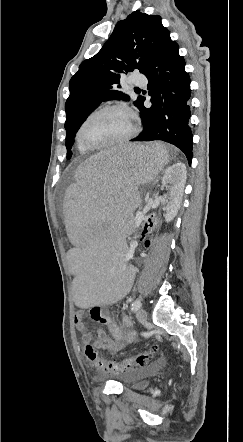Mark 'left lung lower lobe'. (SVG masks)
Listing matches in <instances>:
<instances>
[{"label":"left lung lower lobe","mask_w":243,"mask_h":442,"mask_svg":"<svg viewBox=\"0 0 243 442\" xmlns=\"http://www.w3.org/2000/svg\"><path fill=\"white\" fill-rule=\"evenodd\" d=\"M179 46L168 35L154 59L144 72L152 106L141 112L143 131L131 141L162 140L178 147L192 160L193 135L188 124L191 97L190 77L185 72V60ZM162 94V96H161Z\"/></svg>","instance_id":"1"}]
</instances>
